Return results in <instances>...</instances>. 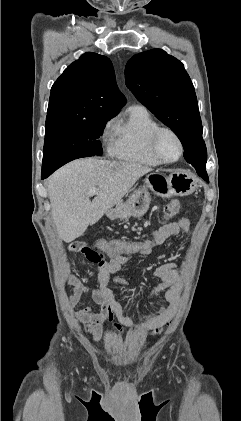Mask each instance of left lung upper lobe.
Here are the masks:
<instances>
[{
  "mask_svg": "<svg viewBox=\"0 0 241 421\" xmlns=\"http://www.w3.org/2000/svg\"><path fill=\"white\" fill-rule=\"evenodd\" d=\"M127 87L184 147L187 162L205 167L207 150L193 84L184 65L161 49L134 55L125 67Z\"/></svg>",
  "mask_w": 241,
  "mask_h": 421,
  "instance_id": "1",
  "label": "left lung upper lobe"
}]
</instances>
